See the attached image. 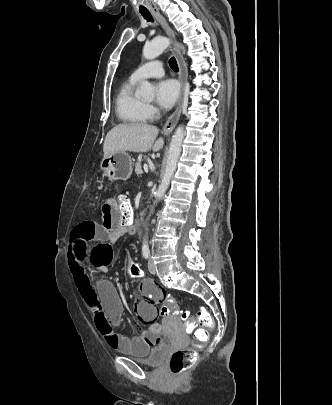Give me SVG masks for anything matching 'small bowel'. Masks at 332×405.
<instances>
[{
    "label": "small bowel",
    "mask_w": 332,
    "mask_h": 405,
    "mask_svg": "<svg viewBox=\"0 0 332 405\" xmlns=\"http://www.w3.org/2000/svg\"><path fill=\"white\" fill-rule=\"evenodd\" d=\"M118 200L117 195L107 196L102 204L100 224L81 221L72 228L67 250L69 269L88 308V315H91V320H94L104 341L124 353H153L159 344L165 342L164 335L158 334L159 322L156 315L159 313V306H162L163 297L168 295L167 288H155L150 280L141 284L136 293L137 302H133L132 309L143 321V328L148 330L128 338L114 330V326L119 325L123 312L122 302L114 285L88 266L93 241H117L127 232L125 224L120 222V209L116 208Z\"/></svg>",
    "instance_id": "small-bowel-1"
}]
</instances>
